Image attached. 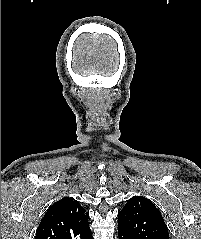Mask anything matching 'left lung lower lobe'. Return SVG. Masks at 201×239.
<instances>
[{
	"label": "left lung lower lobe",
	"instance_id": "obj_1",
	"mask_svg": "<svg viewBox=\"0 0 201 239\" xmlns=\"http://www.w3.org/2000/svg\"><path fill=\"white\" fill-rule=\"evenodd\" d=\"M118 236H119V239H139L132 232H130L120 226H118Z\"/></svg>",
	"mask_w": 201,
	"mask_h": 239
}]
</instances>
